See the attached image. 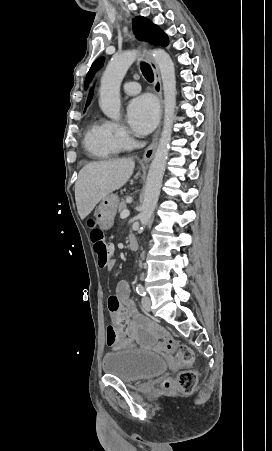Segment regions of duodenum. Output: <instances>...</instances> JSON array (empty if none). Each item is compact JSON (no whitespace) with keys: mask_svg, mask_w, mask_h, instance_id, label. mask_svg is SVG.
<instances>
[{"mask_svg":"<svg viewBox=\"0 0 272 451\" xmlns=\"http://www.w3.org/2000/svg\"><path fill=\"white\" fill-rule=\"evenodd\" d=\"M129 249L130 250H136L138 248V244L135 238H130L129 240Z\"/></svg>","mask_w":272,"mask_h":451,"instance_id":"obj_1","label":"duodenum"}]
</instances>
